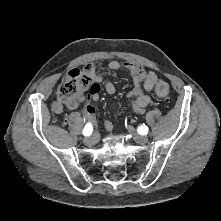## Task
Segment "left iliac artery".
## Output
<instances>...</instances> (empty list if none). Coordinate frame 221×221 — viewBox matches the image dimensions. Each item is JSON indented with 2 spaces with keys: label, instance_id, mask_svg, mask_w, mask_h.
<instances>
[{
  "label": "left iliac artery",
  "instance_id": "1",
  "mask_svg": "<svg viewBox=\"0 0 221 221\" xmlns=\"http://www.w3.org/2000/svg\"><path fill=\"white\" fill-rule=\"evenodd\" d=\"M137 131H138L139 134L145 135V134L148 133L149 128H148L147 126H145V125H141V126H139V127L137 128Z\"/></svg>",
  "mask_w": 221,
  "mask_h": 221
}]
</instances>
